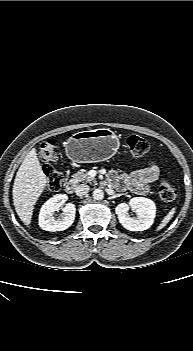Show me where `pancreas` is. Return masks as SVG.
I'll return each instance as SVG.
<instances>
[{
  "mask_svg": "<svg viewBox=\"0 0 193 351\" xmlns=\"http://www.w3.org/2000/svg\"><path fill=\"white\" fill-rule=\"evenodd\" d=\"M80 182H86V183H91V182H96L95 178L89 176V174L86 171H78L72 176V179L70 180V183L73 185H76Z\"/></svg>",
  "mask_w": 193,
  "mask_h": 351,
  "instance_id": "pancreas-1",
  "label": "pancreas"
}]
</instances>
